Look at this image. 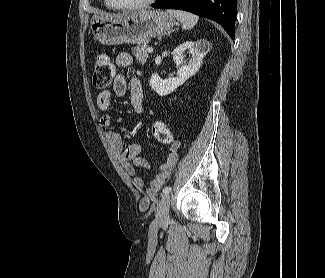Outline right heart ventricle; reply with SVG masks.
I'll return each instance as SVG.
<instances>
[{
  "label": "right heart ventricle",
  "instance_id": "e07e8e85",
  "mask_svg": "<svg viewBox=\"0 0 325 278\" xmlns=\"http://www.w3.org/2000/svg\"><path fill=\"white\" fill-rule=\"evenodd\" d=\"M103 2H104V5H105L106 8H108V9H114V8H112V7L109 5V3H108L107 0H103Z\"/></svg>",
  "mask_w": 325,
  "mask_h": 278
}]
</instances>
